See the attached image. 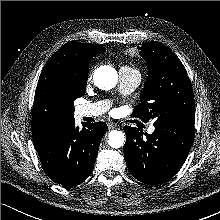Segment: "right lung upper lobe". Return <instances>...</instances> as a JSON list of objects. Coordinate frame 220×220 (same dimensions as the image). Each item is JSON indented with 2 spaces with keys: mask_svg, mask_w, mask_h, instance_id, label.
Wrapping results in <instances>:
<instances>
[{
  "mask_svg": "<svg viewBox=\"0 0 220 220\" xmlns=\"http://www.w3.org/2000/svg\"><path fill=\"white\" fill-rule=\"evenodd\" d=\"M105 50L99 45L72 41L63 45L46 62L35 91L32 112L34 140L74 120V108L65 95V81L70 77H83L91 58Z\"/></svg>",
  "mask_w": 220,
  "mask_h": 220,
  "instance_id": "obj_1",
  "label": "right lung upper lobe"
}]
</instances>
